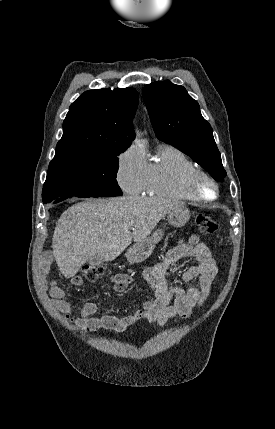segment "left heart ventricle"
Returning a JSON list of instances; mask_svg holds the SVG:
<instances>
[{
  "label": "left heart ventricle",
  "mask_w": 275,
  "mask_h": 429,
  "mask_svg": "<svg viewBox=\"0 0 275 429\" xmlns=\"http://www.w3.org/2000/svg\"><path fill=\"white\" fill-rule=\"evenodd\" d=\"M202 192L207 197H212L214 195V190L208 183L202 184Z\"/></svg>",
  "instance_id": "left-heart-ventricle-1"
}]
</instances>
